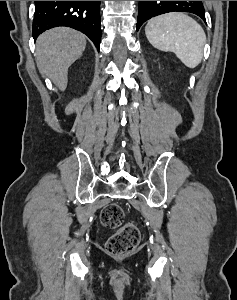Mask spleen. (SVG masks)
<instances>
[{
    "label": "spleen",
    "instance_id": "1",
    "mask_svg": "<svg viewBox=\"0 0 237 300\" xmlns=\"http://www.w3.org/2000/svg\"><path fill=\"white\" fill-rule=\"evenodd\" d=\"M145 35L159 51H171L189 69H195L203 59L206 35L197 21L185 13H166L150 19Z\"/></svg>",
    "mask_w": 237,
    "mask_h": 300
}]
</instances>
